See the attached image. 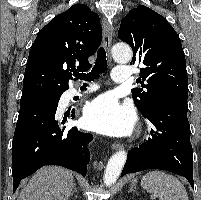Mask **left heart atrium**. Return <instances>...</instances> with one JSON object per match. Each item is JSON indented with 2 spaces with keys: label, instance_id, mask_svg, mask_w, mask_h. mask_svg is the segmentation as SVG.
Masks as SVG:
<instances>
[{
  "label": "left heart atrium",
  "instance_id": "1",
  "mask_svg": "<svg viewBox=\"0 0 201 200\" xmlns=\"http://www.w3.org/2000/svg\"><path fill=\"white\" fill-rule=\"evenodd\" d=\"M86 127L110 136H124L131 132L135 117L128 106H123L105 94L90 102L84 110Z\"/></svg>",
  "mask_w": 201,
  "mask_h": 200
}]
</instances>
